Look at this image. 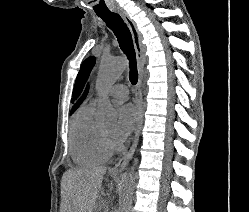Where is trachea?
<instances>
[{
	"mask_svg": "<svg viewBox=\"0 0 249 212\" xmlns=\"http://www.w3.org/2000/svg\"><path fill=\"white\" fill-rule=\"evenodd\" d=\"M97 15L102 18L106 25L114 32L120 48L128 57L130 61L129 79L132 85H135L138 81V72L136 68V55L133 40L129 28L118 13L107 12L97 13Z\"/></svg>",
	"mask_w": 249,
	"mask_h": 212,
	"instance_id": "1",
	"label": "trachea"
}]
</instances>
